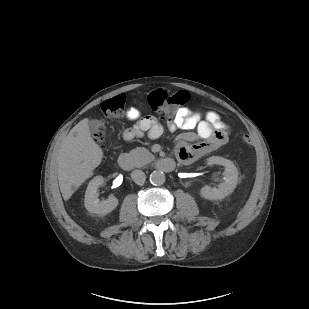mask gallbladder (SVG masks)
<instances>
[{
  "label": "gallbladder",
  "instance_id": "obj_1",
  "mask_svg": "<svg viewBox=\"0 0 309 309\" xmlns=\"http://www.w3.org/2000/svg\"><path fill=\"white\" fill-rule=\"evenodd\" d=\"M88 126H89V130L91 131V133H97L101 129L104 128L103 123L101 121L97 120V119L90 120L88 122Z\"/></svg>",
  "mask_w": 309,
  "mask_h": 309
}]
</instances>
